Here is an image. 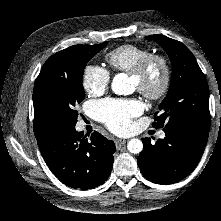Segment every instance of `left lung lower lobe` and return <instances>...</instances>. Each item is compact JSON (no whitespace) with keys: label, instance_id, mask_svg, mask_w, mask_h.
<instances>
[{"label":"left lung lower lobe","instance_id":"1","mask_svg":"<svg viewBox=\"0 0 221 221\" xmlns=\"http://www.w3.org/2000/svg\"><path fill=\"white\" fill-rule=\"evenodd\" d=\"M164 132L165 138L158 139L155 144H151L150 138L143 140L138 165L148 180L167 185L182 180L194 170L209 132L188 126H177Z\"/></svg>","mask_w":221,"mask_h":221}]
</instances>
